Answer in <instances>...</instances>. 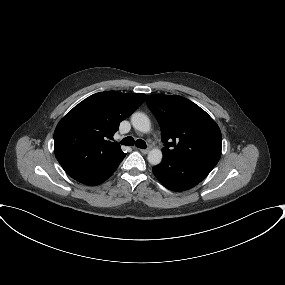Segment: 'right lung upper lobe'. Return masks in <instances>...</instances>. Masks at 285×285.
<instances>
[{"label": "right lung upper lobe", "instance_id": "right-lung-upper-lobe-1", "mask_svg": "<svg viewBox=\"0 0 285 285\" xmlns=\"http://www.w3.org/2000/svg\"><path fill=\"white\" fill-rule=\"evenodd\" d=\"M145 100V94L105 91L76 105L57 125L54 151L60 164H103L125 153L118 143L107 141Z\"/></svg>", "mask_w": 285, "mask_h": 285}]
</instances>
